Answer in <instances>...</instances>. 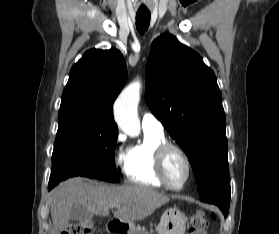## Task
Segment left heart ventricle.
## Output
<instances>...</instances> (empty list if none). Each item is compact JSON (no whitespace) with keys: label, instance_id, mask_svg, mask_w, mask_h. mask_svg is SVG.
I'll use <instances>...</instances> for the list:
<instances>
[{"label":"left heart ventricle","instance_id":"obj_1","mask_svg":"<svg viewBox=\"0 0 279 234\" xmlns=\"http://www.w3.org/2000/svg\"><path fill=\"white\" fill-rule=\"evenodd\" d=\"M165 169L168 180L174 185H180L184 181L187 174L184 159L175 151H171L168 154Z\"/></svg>","mask_w":279,"mask_h":234}]
</instances>
